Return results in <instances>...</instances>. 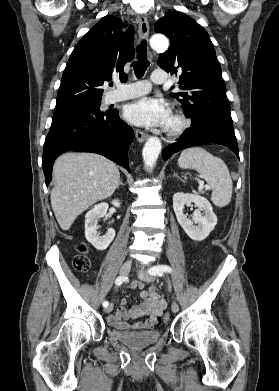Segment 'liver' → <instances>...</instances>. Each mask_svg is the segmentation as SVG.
<instances>
[{
	"mask_svg": "<svg viewBox=\"0 0 279 391\" xmlns=\"http://www.w3.org/2000/svg\"><path fill=\"white\" fill-rule=\"evenodd\" d=\"M51 205L62 230L92 204L110 197L120 181L116 164L95 153H65L53 167Z\"/></svg>",
	"mask_w": 279,
	"mask_h": 391,
	"instance_id": "liver-1",
	"label": "liver"
}]
</instances>
